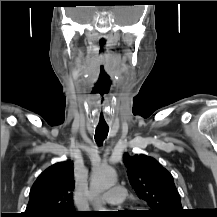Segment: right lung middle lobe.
I'll list each match as a JSON object with an SVG mask.
<instances>
[{
    "label": "right lung middle lobe",
    "mask_w": 217,
    "mask_h": 217,
    "mask_svg": "<svg viewBox=\"0 0 217 217\" xmlns=\"http://www.w3.org/2000/svg\"><path fill=\"white\" fill-rule=\"evenodd\" d=\"M78 216V214L77 215H63V216H60V217H77Z\"/></svg>",
    "instance_id": "1"
}]
</instances>
